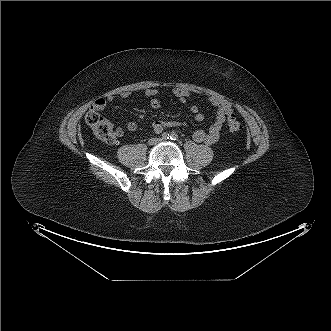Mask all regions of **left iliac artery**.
Masks as SVG:
<instances>
[{
	"label": "left iliac artery",
	"mask_w": 331,
	"mask_h": 331,
	"mask_svg": "<svg viewBox=\"0 0 331 331\" xmlns=\"http://www.w3.org/2000/svg\"><path fill=\"white\" fill-rule=\"evenodd\" d=\"M170 139L173 141H176L178 139V135L176 133L172 132L170 135Z\"/></svg>",
	"instance_id": "44dca946"
}]
</instances>
